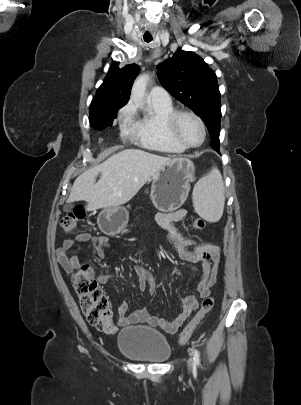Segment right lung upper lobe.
Wrapping results in <instances>:
<instances>
[{
  "label": "right lung upper lobe",
  "mask_w": 301,
  "mask_h": 405,
  "mask_svg": "<svg viewBox=\"0 0 301 405\" xmlns=\"http://www.w3.org/2000/svg\"><path fill=\"white\" fill-rule=\"evenodd\" d=\"M136 64L126 65L123 68L112 66L103 84L98 88L90 107L105 109H120L130 98V91L134 79L139 73Z\"/></svg>",
  "instance_id": "right-lung-upper-lobe-1"
}]
</instances>
